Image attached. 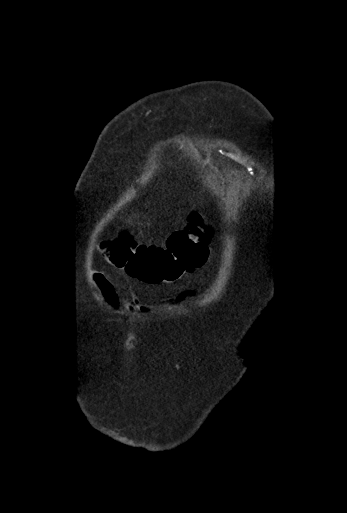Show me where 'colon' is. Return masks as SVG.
<instances>
[{
    "label": "colon",
    "instance_id": "5ec220e1",
    "mask_svg": "<svg viewBox=\"0 0 347 513\" xmlns=\"http://www.w3.org/2000/svg\"><path fill=\"white\" fill-rule=\"evenodd\" d=\"M211 231L199 214H192L187 226L174 232L166 246L137 244L121 233L105 245L110 262L145 284L175 283L202 267L208 257Z\"/></svg>",
    "mask_w": 347,
    "mask_h": 513
}]
</instances>
